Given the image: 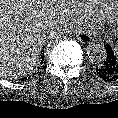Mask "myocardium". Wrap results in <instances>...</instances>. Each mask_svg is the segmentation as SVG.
<instances>
[{
	"instance_id": "1",
	"label": "myocardium",
	"mask_w": 118,
	"mask_h": 118,
	"mask_svg": "<svg viewBox=\"0 0 118 118\" xmlns=\"http://www.w3.org/2000/svg\"><path fill=\"white\" fill-rule=\"evenodd\" d=\"M114 20L118 29V1L115 4V19Z\"/></svg>"
}]
</instances>
